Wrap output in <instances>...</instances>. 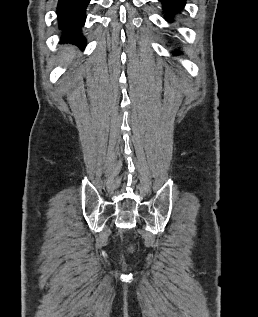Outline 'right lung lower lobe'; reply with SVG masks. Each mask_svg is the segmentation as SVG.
I'll use <instances>...</instances> for the list:
<instances>
[{"instance_id": "98d812e1", "label": "right lung lower lobe", "mask_w": 258, "mask_h": 317, "mask_svg": "<svg viewBox=\"0 0 258 317\" xmlns=\"http://www.w3.org/2000/svg\"><path fill=\"white\" fill-rule=\"evenodd\" d=\"M57 15L61 42H69L83 49L86 39L80 33L85 23L86 7L90 0H58Z\"/></svg>"}]
</instances>
